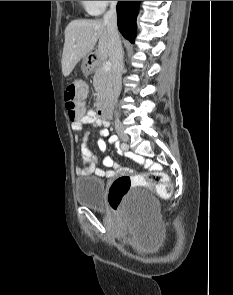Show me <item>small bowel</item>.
<instances>
[{"label":"small bowel","mask_w":233,"mask_h":295,"mask_svg":"<svg viewBox=\"0 0 233 295\" xmlns=\"http://www.w3.org/2000/svg\"><path fill=\"white\" fill-rule=\"evenodd\" d=\"M90 125L96 128H101L100 130V136L97 140L98 148L101 152H106V142L104 138L109 139V143L112 145L117 146V137L116 136H109V122L106 120H103L98 117L95 111L93 110H87L85 111L80 118L75 120L72 123V129L74 131H82L84 126ZM87 137L84 139V143L81 146V158L83 160L84 166L82 168H77L76 171L78 173H93L98 177L102 178H112L119 172L128 171L127 168L121 166L118 164L112 157L106 156L103 160V164L106 169L97 168L95 165V157L91 153V151L88 149L86 145ZM120 152L122 150L118 148ZM144 165L146 167H149L152 170H159L160 167L158 164L153 163L152 161L146 160L144 161Z\"/></svg>","instance_id":"obj_1"}]
</instances>
